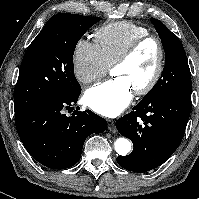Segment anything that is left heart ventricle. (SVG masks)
Masks as SVG:
<instances>
[{"label": "left heart ventricle", "instance_id": "left-heart-ventricle-1", "mask_svg": "<svg viewBox=\"0 0 199 199\" xmlns=\"http://www.w3.org/2000/svg\"><path fill=\"white\" fill-rule=\"evenodd\" d=\"M158 60V50L154 42L142 45L132 58L115 68L112 75L124 78L131 89L144 86L151 78Z\"/></svg>", "mask_w": 199, "mask_h": 199}]
</instances>
